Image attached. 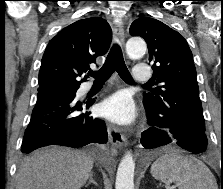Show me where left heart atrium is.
<instances>
[{"label":"left heart atrium","mask_w":223,"mask_h":189,"mask_svg":"<svg viewBox=\"0 0 223 189\" xmlns=\"http://www.w3.org/2000/svg\"><path fill=\"white\" fill-rule=\"evenodd\" d=\"M100 113L118 122H128L133 118V105L130 98L122 93L106 99L100 106Z\"/></svg>","instance_id":"39dd6f15"}]
</instances>
